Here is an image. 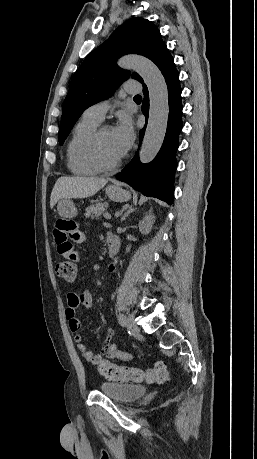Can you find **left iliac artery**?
I'll use <instances>...</instances> for the list:
<instances>
[{"instance_id":"obj_1","label":"left iliac artery","mask_w":257,"mask_h":459,"mask_svg":"<svg viewBox=\"0 0 257 459\" xmlns=\"http://www.w3.org/2000/svg\"><path fill=\"white\" fill-rule=\"evenodd\" d=\"M119 322L122 326L124 327H128L129 326V322L127 320V317L124 315V314H119Z\"/></svg>"}]
</instances>
